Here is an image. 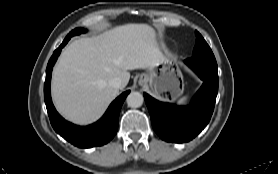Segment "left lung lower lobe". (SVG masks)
<instances>
[{
  "label": "left lung lower lobe",
  "mask_w": 278,
  "mask_h": 174,
  "mask_svg": "<svg viewBox=\"0 0 278 174\" xmlns=\"http://www.w3.org/2000/svg\"><path fill=\"white\" fill-rule=\"evenodd\" d=\"M185 63L203 80L188 106L162 103L144 93L153 129L168 142L183 143L196 137L210 121L218 93L217 67L195 58Z\"/></svg>",
  "instance_id": "0a47b994"
}]
</instances>
